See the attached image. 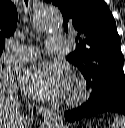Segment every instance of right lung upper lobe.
Instances as JSON below:
<instances>
[{
    "label": "right lung upper lobe",
    "mask_w": 125,
    "mask_h": 128,
    "mask_svg": "<svg viewBox=\"0 0 125 128\" xmlns=\"http://www.w3.org/2000/svg\"><path fill=\"white\" fill-rule=\"evenodd\" d=\"M18 14L11 0H0V56L5 48V39L16 30Z\"/></svg>",
    "instance_id": "1"
}]
</instances>
